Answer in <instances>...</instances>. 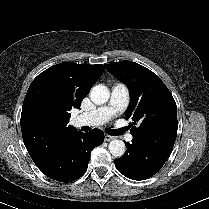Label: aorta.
Returning <instances> with one entry per match:
<instances>
[{
    "label": "aorta",
    "instance_id": "aorta-1",
    "mask_svg": "<svg viewBox=\"0 0 209 209\" xmlns=\"http://www.w3.org/2000/svg\"><path fill=\"white\" fill-rule=\"evenodd\" d=\"M110 97L109 89L102 84L96 85L91 89L90 98L95 104L101 105L108 101ZM109 151L114 157H121L126 151L125 143L122 140L114 139L109 143Z\"/></svg>",
    "mask_w": 209,
    "mask_h": 209
}]
</instances>
